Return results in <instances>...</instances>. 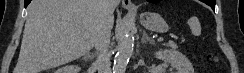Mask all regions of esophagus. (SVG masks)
<instances>
[{"instance_id":"esophagus-1","label":"esophagus","mask_w":244,"mask_h":73,"mask_svg":"<svg viewBox=\"0 0 244 73\" xmlns=\"http://www.w3.org/2000/svg\"><path fill=\"white\" fill-rule=\"evenodd\" d=\"M122 6H123V8L128 9V10H135V6L131 2V0H122Z\"/></svg>"}]
</instances>
